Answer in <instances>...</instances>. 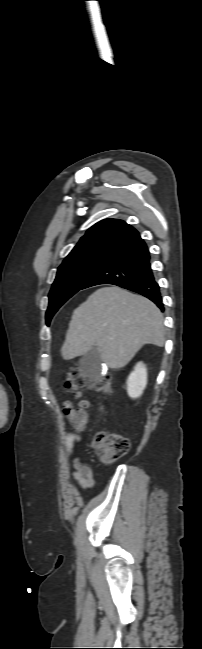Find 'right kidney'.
<instances>
[{
    "mask_svg": "<svg viewBox=\"0 0 202 649\" xmlns=\"http://www.w3.org/2000/svg\"><path fill=\"white\" fill-rule=\"evenodd\" d=\"M147 384V370L143 363H138L127 379V392L131 398L142 395Z\"/></svg>",
    "mask_w": 202,
    "mask_h": 649,
    "instance_id": "right-kidney-1",
    "label": "right kidney"
}]
</instances>
